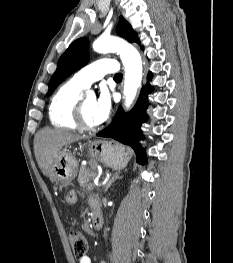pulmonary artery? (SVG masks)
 Instances as JSON below:
<instances>
[{
  "label": "pulmonary artery",
  "mask_w": 233,
  "mask_h": 263,
  "mask_svg": "<svg viewBox=\"0 0 233 263\" xmlns=\"http://www.w3.org/2000/svg\"><path fill=\"white\" fill-rule=\"evenodd\" d=\"M118 63L114 59H99L81 70L73 76V81L83 88L89 87L93 82L103 78L106 74H117Z\"/></svg>",
  "instance_id": "obj_1"
}]
</instances>
